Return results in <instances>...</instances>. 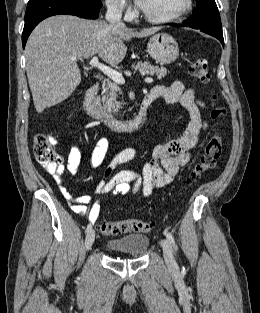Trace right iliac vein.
Wrapping results in <instances>:
<instances>
[{"label": "right iliac vein", "instance_id": "obj_1", "mask_svg": "<svg viewBox=\"0 0 260 313\" xmlns=\"http://www.w3.org/2000/svg\"><path fill=\"white\" fill-rule=\"evenodd\" d=\"M94 240H95V231L93 229H90L87 232V235L85 238V248L87 250H89L92 247Z\"/></svg>", "mask_w": 260, "mask_h": 313}]
</instances>
